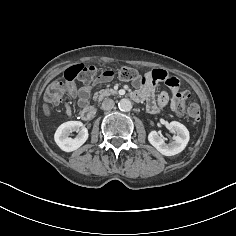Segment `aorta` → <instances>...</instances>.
<instances>
[{"label": "aorta", "mask_w": 236, "mask_h": 236, "mask_svg": "<svg viewBox=\"0 0 236 236\" xmlns=\"http://www.w3.org/2000/svg\"><path fill=\"white\" fill-rule=\"evenodd\" d=\"M118 107L121 111H130L132 109V103L129 99H121Z\"/></svg>", "instance_id": "obj_1"}]
</instances>
